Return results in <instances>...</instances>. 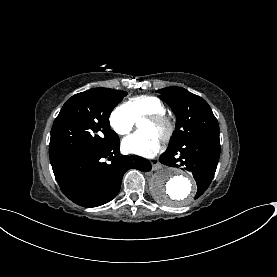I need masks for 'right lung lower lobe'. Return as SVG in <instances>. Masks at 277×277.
I'll use <instances>...</instances> for the list:
<instances>
[{
    "instance_id": "right-lung-lower-lobe-1",
    "label": "right lung lower lobe",
    "mask_w": 277,
    "mask_h": 277,
    "mask_svg": "<svg viewBox=\"0 0 277 277\" xmlns=\"http://www.w3.org/2000/svg\"><path fill=\"white\" fill-rule=\"evenodd\" d=\"M119 146L117 141L101 149H81L50 159L62 192L80 206L96 207L118 194L127 170H151L148 160L119 154Z\"/></svg>"
}]
</instances>
